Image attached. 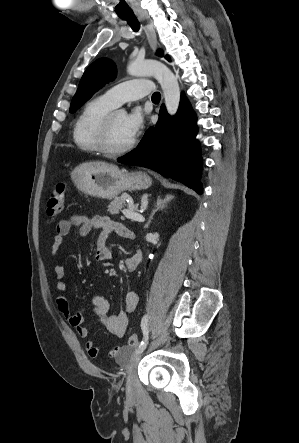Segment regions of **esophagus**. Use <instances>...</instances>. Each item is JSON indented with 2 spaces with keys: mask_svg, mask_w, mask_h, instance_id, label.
Masks as SVG:
<instances>
[{
  "mask_svg": "<svg viewBox=\"0 0 299 443\" xmlns=\"http://www.w3.org/2000/svg\"><path fill=\"white\" fill-rule=\"evenodd\" d=\"M136 16L144 24V30L147 35V38H148L151 48L153 50H156V48L158 46L156 33H155V30H154L152 24L149 22L147 15L142 10H139V11H136Z\"/></svg>",
  "mask_w": 299,
  "mask_h": 443,
  "instance_id": "34e87169",
  "label": "esophagus"
}]
</instances>
